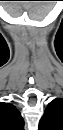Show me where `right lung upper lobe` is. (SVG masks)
Returning a JSON list of instances; mask_svg holds the SVG:
<instances>
[{"label":"right lung upper lobe","mask_w":63,"mask_h":130,"mask_svg":"<svg viewBox=\"0 0 63 130\" xmlns=\"http://www.w3.org/2000/svg\"><path fill=\"white\" fill-rule=\"evenodd\" d=\"M0 129L1 130H23L24 120L14 105L0 103Z\"/></svg>","instance_id":"obj_1"}]
</instances>
